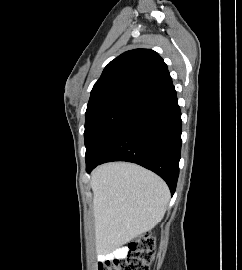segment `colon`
<instances>
[{
	"label": "colon",
	"instance_id": "1",
	"mask_svg": "<svg viewBox=\"0 0 242 270\" xmlns=\"http://www.w3.org/2000/svg\"><path fill=\"white\" fill-rule=\"evenodd\" d=\"M155 239L149 234H141L129 242L126 254L115 257L110 262L97 265L98 270H150L154 258Z\"/></svg>",
	"mask_w": 242,
	"mask_h": 270
}]
</instances>
